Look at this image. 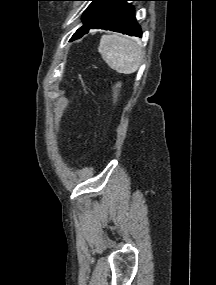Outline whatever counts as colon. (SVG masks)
Returning a JSON list of instances; mask_svg holds the SVG:
<instances>
[{"instance_id": "5ec220e1", "label": "colon", "mask_w": 216, "mask_h": 285, "mask_svg": "<svg viewBox=\"0 0 216 285\" xmlns=\"http://www.w3.org/2000/svg\"><path fill=\"white\" fill-rule=\"evenodd\" d=\"M120 87H121V84H120L119 82L115 83V84L112 86L113 101H116V100H117L118 95H119V91H120Z\"/></svg>"}]
</instances>
